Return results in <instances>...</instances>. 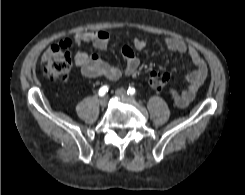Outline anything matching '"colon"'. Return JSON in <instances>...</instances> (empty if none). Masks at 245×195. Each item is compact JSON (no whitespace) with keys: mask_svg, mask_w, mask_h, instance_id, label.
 <instances>
[{"mask_svg":"<svg viewBox=\"0 0 245 195\" xmlns=\"http://www.w3.org/2000/svg\"><path fill=\"white\" fill-rule=\"evenodd\" d=\"M72 42H64L51 47L49 59L45 68L46 76L51 80L65 79L72 68V57L69 47ZM169 74L165 72H153L148 78V89L154 92L161 91L169 81Z\"/></svg>","mask_w":245,"mask_h":195,"instance_id":"obj_1","label":"colon"}]
</instances>
